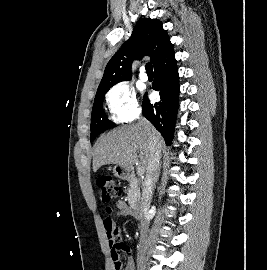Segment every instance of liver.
Wrapping results in <instances>:
<instances>
[{
    "mask_svg": "<svg viewBox=\"0 0 267 270\" xmlns=\"http://www.w3.org/2000/svg\"><path fill=\"white\" fill-rule=\"evenodd\" d=\"M160 150L165 147L164 140L154 129ZM150 158V141L147 130L138 124L117 127L97 141L93 152V171L101 166L116 164L131 169L140 162L144 170Z\"/></svg>",
    "mask_w": 267,
    "mask_h": 270,
    "instance_id": "6515ba94",
    "label": "liver"
}]
</instances>
